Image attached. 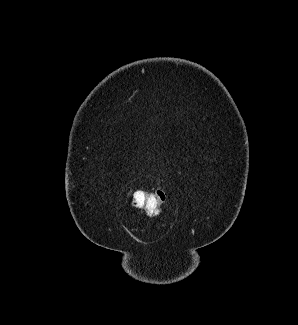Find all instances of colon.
I'll return each instance as SVG.
<instances>
[{
	"label": "colon",
	"instance_id": "5ec220e1",
	"mask_svg": "<svg viewBox=\"0 0 298 325\" xmlns=\"http://www.w3.org/2000/svg\"><path fill=\"white\" fill-rule=\"evenodd\" d=\"M166 191L162 188L154 190H136L132 194V204L135 208L155 216L166 200Z\"/></svg>",
	"mask_w": 298,
	"mask_h": 325
}]
</instances>
